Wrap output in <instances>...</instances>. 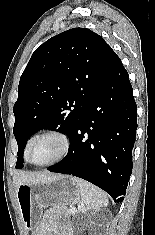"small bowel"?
Masks as SVG:
<instances>
[{"mask_svg":"<svg viewBox=\"0 0 155 235\" xmlns=\"http://www.w3.org/2000/svg\"><path fill=\"white\" fill-rule=\"evenodd\" d=\"M35 235H70L67 219L55 211H49Z\"/></svg>","mask_w":155,"mask_h":235,"instance_id":"small-bowel-1","label":"small bowel"}]
</instances>
